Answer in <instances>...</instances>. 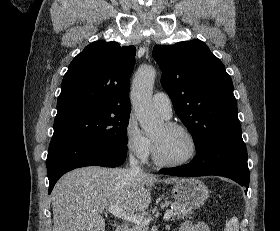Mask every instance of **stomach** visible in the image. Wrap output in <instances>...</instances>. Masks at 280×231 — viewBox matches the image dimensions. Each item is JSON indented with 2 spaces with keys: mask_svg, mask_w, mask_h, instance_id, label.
Returning <instances> with one entry per match:
<instances>
[{
  "mask_svg": "<svg viewBox=\"0 0 280 231\" xmlns=\"http://www.w3.org/2000/svg\"><path fill=\"white\" fill-rule=\"evenodd\" d=\"M172 193L174 199L188 209H199L208 199L209 189L200 179L182 177V179L175 181Z\"/></svg>",
  "mask_w": 280,
  "mask_h": 231,
  "instance_id": "stomach-1",
  "label": "stomach"
}]
</instances>
